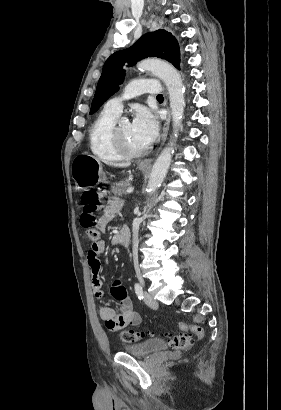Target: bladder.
Masks as SVG:
<instances>
[{
  "instance_id": "31cf9c89",
  "label": "bladder",
  "mask_w": 281,
  "mask_h": 410,
  "mask_svg": "<svg viewBox=\"0 0 281 410\" xmlns=\"http://www.w3.org/2000/svg\"><path fill=\"white\" fill-rule=\"evenodd\" d=\"M167 349V343L161 339H149L143 342L123 346L122 350L136 357H149Z\"/></svg>"
}]
</instances>
